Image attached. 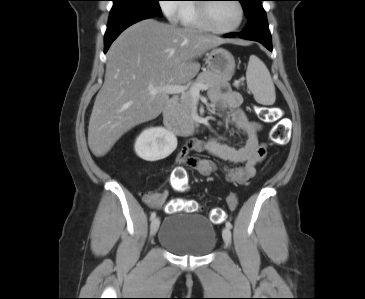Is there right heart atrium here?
<instances>
[{
	"mask_svg": "<svg viewBox=\"0 0 365 299\" xmlns=\"http://www.w3.org/2000/svg\"><path fill=\"white\" fill-rule=\"evenodd\" d=\"M160 7L165 14V16L173 22H177L180 20L183 7L178 2V0H160Z\"/></svg>",
	"mask_w": 365,
	"mask_h": 299,
	"instance_id": "d8ad5b80",
	"label": "right heart atrium"
}]
</instances>
